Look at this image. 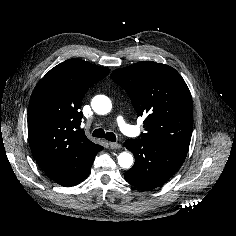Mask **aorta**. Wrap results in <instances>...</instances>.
Instances as JSON below:
<instances>
[{
  "mask_svg": "<svg viewBox=\"0 0 236 236\" xmlns=\"http://www.w3.org/2000/svg\"><path fill=\"white\" fill-rule=\"evenodd\" d=\"M92 109L100 115L108 114L112 109L111 101L105 97L101 103L92 102ZM118 164L122 168H130L133 164V156L128 152H122L118 155Z\"/></svg>",
  "mask_w": 236,
  "mask_h": 236,
  "instance_id": "762f6f07",
  "label": "aorta"
}]
</instances>
